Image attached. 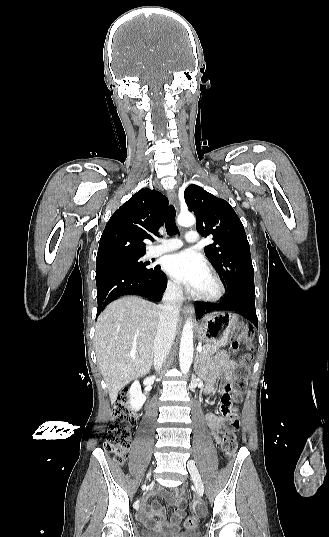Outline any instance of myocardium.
<instances>
[{
  "label": "myocardium",
  "instance_id": "f54148a6",
  "mask_svg": "<svg viewBox=\"0 0 329 537\" xmlns=\"http://www.w3.org/2000/svg\"><path fill=\"white\" fill-rule=\"evenodd\" d=\"M208 274L210 275V277L212 278L214 282L213 291L209 293H202V292L196 291L195 297L201 301L214 302V301L221 299L225 295L226 288H225V284L222 278L215 270L209 268Z\"/></svg>",
  "mask_w": 329,
  "mask_h": 537
}]
</instances>
